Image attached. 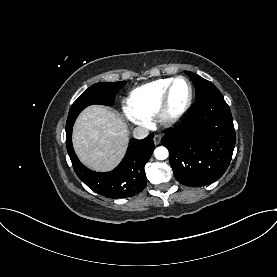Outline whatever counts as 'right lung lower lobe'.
<instances>
[{
    "instance_id": "1",
    "label": "right lung lower lobe",
    "mask_w": 277,
    "mask_h": 277,
    "mask_svg": "<svg viewBox=\"0 0 277 277\" xmlns=\"http://www.w3.org/2000/svg\"><path fill=\"white\" fill-rule=\"evenodd\" d=\"M72 127L66 130V147L77 176L94 192L110 198L139 194L146 186L144 166L155 148L153 134L145 139H131L122 162L111 172L97 173L86 168L72 146Z\"/></svg>"
}]
</instances>
